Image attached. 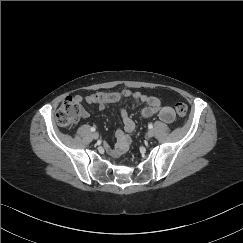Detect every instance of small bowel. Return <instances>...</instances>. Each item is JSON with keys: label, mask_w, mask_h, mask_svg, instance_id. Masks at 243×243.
I'll use <instances>...</instances> for the list:
<instances>
[{"label": "small bowel", "mask_w": 243, "mask_h": 243, "mask_svg": "<svg viewBox=\"0 0 243 243\" xmlns=\"http://www.w3.org/2000/svg\"><path fill=\"white\" fill-rule=\"evenodd\" d=\"M121 93L124 94L122 99L131 96L135 104L145 105L140 111V116L144 119L157 116L161 121L170 123L175 118L173 109L169 106L163 105L157 97L150 96L141 92L131 93L127 90H124ZM77 98L81 101H85L88 104H96L100 107H104L106 104L114 102L106 101L101 95L98 94H92L86 97L77 96ZM119 114L122 119L124 128L123 130H117L115 132L116 143L114 146L107 143L104 144V149L113 156H120L127 150L131 141L130 133H132L135 128V123L126 108H121ZM82 117H88V112L86 110H82Z\"/></svg>", "instance_id": "obj_1"}]
</instances>
